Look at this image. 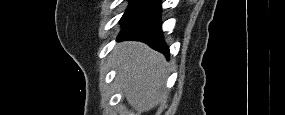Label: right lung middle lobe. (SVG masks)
Segmentation results:
<instances>
[{"label": "right lung middle lobe", "instance_id": "1", "mask_svg": "<svg viewBox=\"0 0 285 115\" xmlns=\"http://www.w3.org/2000/svg\"><path fill=\"white\" fill-rule=\"evenodd\" d=\"M159 0H130L129 6L120 22L123 25L133 17L157 4Z\"/></svg>", "mask_w": 285, "mask_h": 115}]
</instances>
